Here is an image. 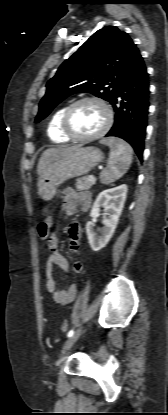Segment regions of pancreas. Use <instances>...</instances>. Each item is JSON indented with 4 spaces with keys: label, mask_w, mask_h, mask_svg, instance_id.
Segmentation results:
<instances>
[{
    "label": "pancreas",
    "mask_w": 168,
    "mask_h": 415,
    "mask_svg": "<svg viewBox=\"0 0 168 415\" xmlns=\"http://www.w3.org/2000/svg\"><path fill=\"white\" fill-rule=\"evenodd\" d=\"M96 179L90 180L89 177H83L76 182V189L79 191L89 190L93 185H95Z\"/></svg>",
    "instance_id": "pancreas-1"
}]
</instances>
